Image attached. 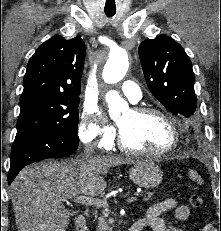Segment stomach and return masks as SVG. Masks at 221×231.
Returning a JSON list of instances; mask_svg holds the SVG:
<instances>
[{
  "label": "stomach",
  "mask_w": 221,
  "mask_h": 231,
  "mask_svg": "<svg viewBox=\"0 0 221 231\" xmlns=\"http://www.w3.org/2000/svg\"><path fill=\"white\" fill-rule=\"evenodd\" d=\"M130 179L138 186L154 188L163 179V172L158 165L151 160L137 161L129 170Z\"/></svg>",
  "instance_id": "0dacf381"
}]
</instances>
